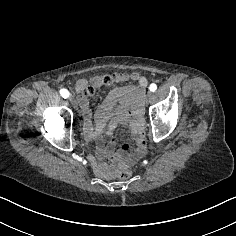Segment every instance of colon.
I'll return each instance as SVG.
<instances>
[{
    "mask_svg": "<svg viewBox=\"0 0 236 236\" xmlns=\"http://www.w3.org/2000/svg\"><path fill=\"white\" fill-rule=\"evenodd\" d=\"M112 82V78L109 76H106L103 81L102 84L104 86H109ZM95 92V86L94 85H89L85 88L84 93L86 95H93ZM133 175V172L130 169H122L117 173V177L121 180H127L129 178H131Z\"/></svg>",
    "mask_w": 236,
    "mask_h": 236,
    "instance_id": "obj_1",
    "label": "colon"
}]
</instances>
